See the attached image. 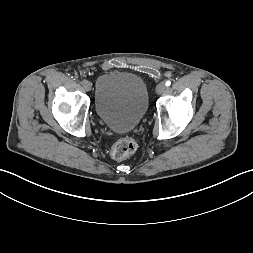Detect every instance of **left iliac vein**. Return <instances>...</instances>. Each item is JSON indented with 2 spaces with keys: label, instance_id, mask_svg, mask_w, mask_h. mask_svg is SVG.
I'll return each mask as SVG.
<instances>
[{
  "label": "left iliac vein",
  "instance_id": "1",
  "mask_svg": "<svg viewBox=\"0 0 253 253\" xmlns=\"http://www.w3.org/2000/svg\"><path fill=\"white\" fill-rule=\"evenodd\" d=\"M165 90H166V85L164 82L159 83L156 87L157 94H162Z\"/></svg>",
  "mask_w": 253,
  "mask_h": 253
}]
</instances>
